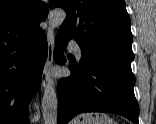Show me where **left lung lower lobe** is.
<instances>
[{
	"mask_svg": "<svg viewBox=\"0 0 156 124\" xmlns=\"http://www.w3.org/2000/svg\"><path fill=\"white\" fill-rule=\"evenodd\" d=\"M68 36L58 33L54 59L63 64ZM70 77L58 82V124L83 112H111L139 124L134 95L135 77L130 67L113 59H95L83 65L70 63Z\"/></svg>",
	"mask_w": 156,
	"mask_h": 124,
	"instance_id": "obj_1",
	"label": "left lung lower lobe"
}]
</instances>
